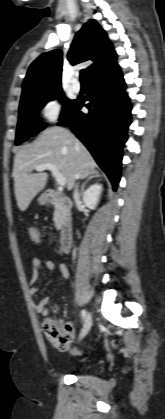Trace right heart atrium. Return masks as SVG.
Returning a JSON list of instances; mask_svg holds the SVG:
<instances>
[{
  "instance_id": "right-heart-atrium-1",
  "label": "right heart atrium",
  "mask_w": 165,
  "mask_h": 419,
  "mask_svg": "<svg viewBox=\"0 0 165 419\" xmlns=\"http://www.w3.org/2000/svg\"><path fill=\"white\" fill-rule=\"evenodd\" d=\"M64 105L59 97H51L47 99L41 108L43 119L50 124L58 122L63 114Z\"/></svg>"
}]
</instances>
